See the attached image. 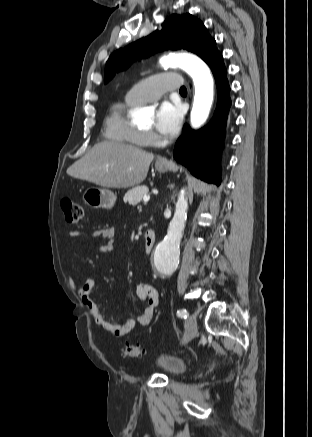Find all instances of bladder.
<instances>
[{
  "mask_svg": "<svg viewBox=\"0 0 312 437\" xmlns=\"http://www.w3.org/2000/svg\"><path fill=\"white\" fill-rule=\"evenodd\" d=\"M155 366L169 378H177L187 372V365L182 359L166 352L156 356Z\"/></svg>",
  "mask_w": 312,
  "mask_h": 437,
  "instance_id": "1",
  "label": "bladder"
}]
</instances>
